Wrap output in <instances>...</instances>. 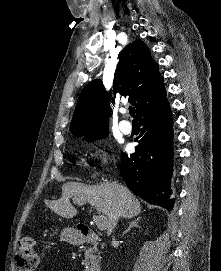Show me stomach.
Wrapping results in <instances>:
<instances>
[{"instance_id":"1","label":"stomach","mask_w":221,"mask_h":271,"mask_svg":"<svg viewBox=\"0 0 221 271\" xmlns=\"http://www.w3.org/2000/svg\"><path fill=\"white\" fill-rule=\"evenodd\" d=\"M62 238H80L81 234L79 230H64L61 234Z\"/></svg>"}]
</instances>
